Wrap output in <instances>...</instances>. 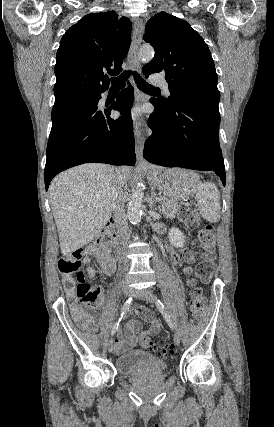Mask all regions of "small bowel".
I'll return each instance as SVG.
<instances>
[{"label": "small bowel", "mask_w": 274, "mask_h": 427, "mask_svg": "<svg viewBox=\"0 0 274 427\" xmlns=\"http://www.w3.org/2000/svg\"><path fill=\"white\" fill-rule=\"evenodd\" d=\"M156 231L161 232L159 225L155 226ZM194 251L197 255L206 257L208 254L211 257H215L218 254V251H200L199 246H194ZM94 259L100 266L101 272L104 275L110 276L114 273L116 262L113 256L111 255L108 244L106 242L93 243L87 246L84 249L83 263L89 265ZM170 260L173 264L179 265L182 262L193 263L195 261V256L192 251H187L183 256L172 251L170 253ZM197 278H202L203 283H208L209 278H212L213 271L211 268V263L209 261H198L196 264ZM88 276L93 278L95 276V269L89 267ZM179 283L185 282L184 276L178 277ZM106 304L105 297L102 296V291L98 299L96 300V307H104ZM72 316L80 326L87 331H94L97 328H103L105 322L102 317L94 310L93 307L87 304L75 303L71 309ZM150 313V312H149ZM150 318H142L145 321L151 323V327L145 331H141V321L139 319H131L125 325L124 334L117 332L113 344L114 351L117 354H123L133 348H135L141 337H154L157 336L162 330V322L150 313Z\"/></svg>", "instance_id": "obj_1"}]
</instances>
